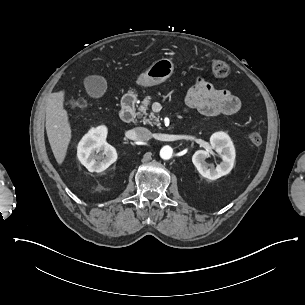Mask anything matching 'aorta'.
I'll return each mask as SVG.
<instances>
[{
	"instance_id": "aorta-1",
	"label": "aorta",
	"mask_w": 305,
	"mask_h": 305,
	"mask_svg": "<svg viewBox=\"0 0 305 305\" xmlns=\"http://www.w3.org/2000/svg\"><path fill=\"white\" fill-rule=\"evenodd\" d=\"M172 154H173V149L166 145V146H163L160 150V157L164 160H168L172 157Z\"/></svg>"
}]
</instances>
